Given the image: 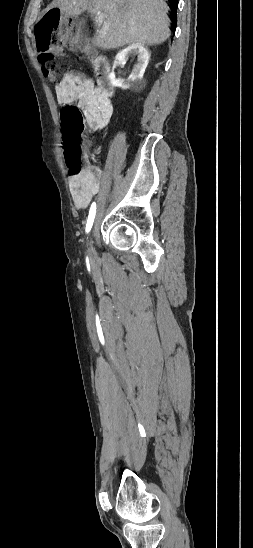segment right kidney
Instances as JSON below:
<instances>
[{"mask_svg": "<svg viewBox=\"0 0 253 548\" xmlns=\"http://www.w3.org/2000/svg\"><path fill=\"white\" fill-rule=\"evenodd\" d=\"M132 55L138 56L137 64L134 66L132 73L125 82H119L115 77V73L112 71L109 78L113 86L121 87L122 89H128L130 87L142 89L144 87L142 79L150 59V52L144 45L139 43L131 44L116 55L114 63L124 64L128 57Z\"/></svg>", "mask_w": 253, "mask_h": 548, "instance_id": "ca27d5eb", "label": "right kidney"}]
</instances>
